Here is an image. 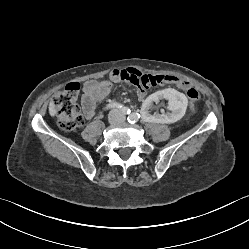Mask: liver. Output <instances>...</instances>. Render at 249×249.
Segmentation results:
<instances>
[{
  "label": "liver",
  "instance_id": "1",
  "mask_svg": "<svg viewBox=\"0 0 249 249\" xmlns=\"http://www.w3.org/2000/svg\"><path fill=\"white\" fill-rule=\"evenodd\" d=\"M57 113L56 106L53 101L49 103V114L50 116L54 117Z\"/></svg>",
  "mask_w": 249,
  "mask_h": 249
}]
</instances>
